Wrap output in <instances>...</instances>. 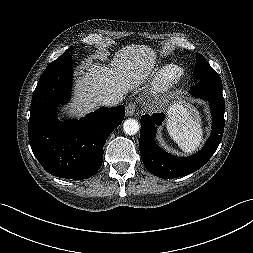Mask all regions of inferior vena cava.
<instances>
[{"mask_svg": "<svg viewBox=\"0 0 253 253\" xmlns=\"http://www.w3.org/2000/svg\"><path fill=\"white\" fill-rule=\"evenodd\" d=\"M122 100L119 96H103L100 95L97 97V101L103 105L108 107H113L119 104V102Z\"/></svg>", "mask_w": 253, "mask_h": 253, "instance_id": "602c4592", "label": "inferior vena cava"}]
</instances>
